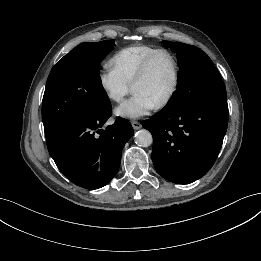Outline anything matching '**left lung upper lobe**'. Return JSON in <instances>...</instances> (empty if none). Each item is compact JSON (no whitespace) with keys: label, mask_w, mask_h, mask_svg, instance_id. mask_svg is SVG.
<instances>
[{"label":"left lung upper lobe","mask_w":261,"mask_h":261,"mask_svg":"<svg viewBox=\"0 0 261 261\" xmlns=\"http://www.w3.org/2000/svg\"><path fill=\"white\" fill-rule=\"evenodd\" d=\"M164 43L178 54L180 65L179 88L164 108L179 112L205 101L226 97L220 74L206 53L184 43Z\"/></svg>","instance_id":"5c2ea615"}]
</instances>
